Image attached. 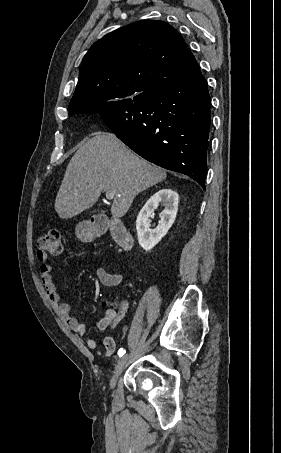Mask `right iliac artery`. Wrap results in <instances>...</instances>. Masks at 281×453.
<instances>
[{"instance_id": "1", "label": "right iliac artery", "mask_w": 281, "mask_h": 453, "mask_svg": "<svg viewBox=\"0 0 281 453\" xmlns=\"http://www.w3.org/2000/svg\"><path fill=\"white\" fill-rule=\"evenodd\" d=\"M125 353H126V351H125L123 348H120V349L118 350V355H119V357L123 356Z\"/></svg>"}]
</instances>
